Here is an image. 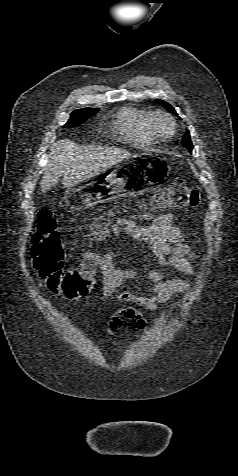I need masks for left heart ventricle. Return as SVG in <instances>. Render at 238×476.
<instances>
[{
	"label": "left heart ventricle",
	"instance_id": "left-heart-ventricle-1",
	"mask_svg": "<svg viewBox=\"0 0 238 476\" xmlns=\"http://www.w3.org/2000/svg\"><path fill=\"white\" fill-rule=\"evenodd\" d=\"M158 130L161 135L166 136L170 133L171 125L169 122L161 120L157 124Z\"/></svg>",
	"mask_w": 238,
	"mask_h": 476
}]
</instances>
